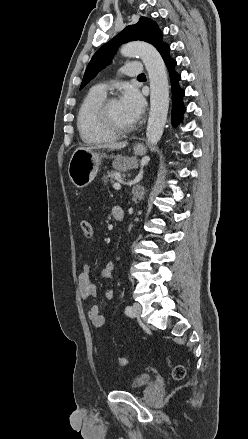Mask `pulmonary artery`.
<instances>
[{
	"mask_svg": "<svg viewBox=\"0 0 248 439\" xmlns=\"http://www.w3.org/2000/svg\"><path fill=\"white\" fill-rule=\"evenodd\" d=\"M123 73L126 76H129V77L141 75L143 73V67H142L141 62H129V63H127L124 66V68H123ZM106 88L107 87H106L105 84H100V85H97L95 87V89L97 91H99L100 93H102V94H106Z\"/></svg>",
	"mask_w": 248,
	"mask_h": 439,
	"instance_id": "1",
	"label": "pulmonary artery"
}]
</instances>
